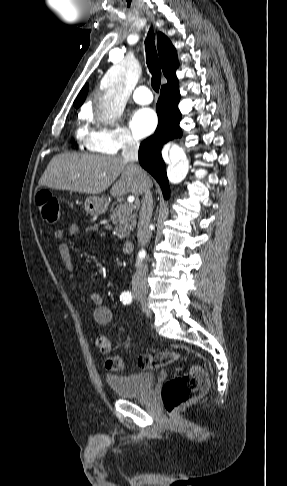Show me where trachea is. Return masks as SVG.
Wrapping results in <instances>:
<instances>
[{
    "label": "trachea",
    "mask_w": 287,
    "mask_h": 486,
    "mask_svg": "<svg viewBox=\"0 0 287 486\" xmlns=\"http://www.w3.org/2000/svg\"><path fill=\"white\" fill-rule=\"evenodd\" d=\"M154 39H155V35L153 31L150 29L145 41L146 63L150 73L152 74V78H151L152 88L154 89V91L159 92L160 84H161V69H160V63H159Z\"/></svg>",
    "instance_id": "3493384b"
}]
</instances>
